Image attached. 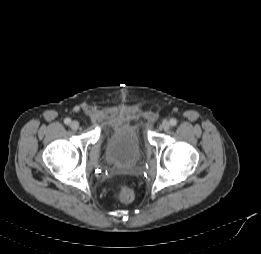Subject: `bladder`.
I'll return each instance as SVG.
<instances>
[{"label": "bladder", "mask_w": 261, "mask_h": 254, "mask_svg": "<svg viewBox=\"0 0 261 254\" xmlns=\"http://www.w3.org/2000/svg\"><path fill=\"white\" fill-rule=\"evenodd\" d=\"M141 153V135L132 124L126 123L117 126L106 140V159L113 166L129 168L136 164Z\"/></svg>", "instance_id": "bladder-1"}]
</instances>
